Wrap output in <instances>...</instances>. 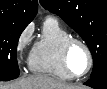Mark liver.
<instances>
[{"label": "liver", "mask_w": 107, "mask_h": 89, "mask_svg": "<svg viewBox=\"0 0 107 89\" xmlns=\"http://www.w3.org/2000/svg\"><path fill=\"white\" fill-rule=\"evenodd\" d=\"M0 89H76V86L46 75H33L12 83H2Z\"/></svg>", "instance_id": "1"}]
</instances>
